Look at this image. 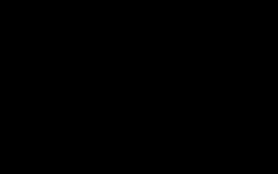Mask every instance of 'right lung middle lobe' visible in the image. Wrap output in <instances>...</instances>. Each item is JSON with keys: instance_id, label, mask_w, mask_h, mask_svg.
Instances as JSON below:
<instances>
[{"instance_id": "dd1d6c3e", "label": "right lung middle lobe", "mask_w": 278, "mask_h": 174, "mask_svg": "<svg viewBox=\"0 0 278 174\" xmlns=\"http://www.w3.org/2000/svg\"><path fill=\"white\" fill-rule=\"evenodd\" d=\"M120 28L99 23L78 29L60 48L52 67L55 79L73 73L87 77L114 78L112 53Z\"/></svg>"}]
</instances>
